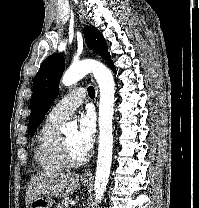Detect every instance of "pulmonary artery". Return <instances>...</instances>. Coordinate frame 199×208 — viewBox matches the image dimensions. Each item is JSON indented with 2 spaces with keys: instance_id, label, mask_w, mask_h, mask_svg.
I'll use <instances>...</instances> for the list:
<instances>
[{
  "instance_id": "e3ab8cb5",
  "label": "pulmonary artery",
  "mask_w": 199,
  "mask_h": 208,
  "mask_svg": "<svg viewBox=\"0 0 199 208\" xmlns=\"http://www.w3.org/2000/svg\"><path fill=\"white\" fill-rule=\"evenodd\" d=\"M85 95V91L81 88L70 91L64 98L53 106L49 116L62 121L67 120L81 105Z\"/></svg>"
}]
</instances>
